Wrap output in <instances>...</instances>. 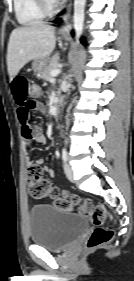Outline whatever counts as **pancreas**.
<instances>
[{"mask_svg": "<svg viewBox=\"0 0 134 281\" xmlns=\"http://www.w3.org/2000/svg\"><path fill=\"white\" fill-rule=\"evenodd\" d=\"M58 55H54L51 59H49L48 65L45 67V69L41 72L42 78L45 81H49L52 79V76L50 75L51 71L54 69H57L59 64H58Z\"/></svg>", "mask_w": 134, "mask_h": 281, "instance_id": "1", "label": "pancreas"}]
</instances>
